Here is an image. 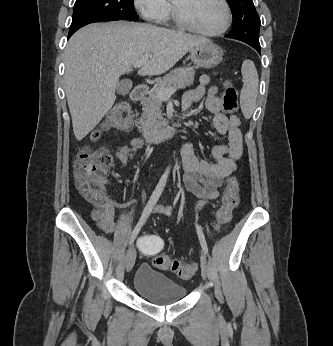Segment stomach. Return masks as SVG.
I'll use <instances>...</instances> for the list:
<instances>
[{
	"mask_svg": "<svg viewBox=\"0 0 333 346\" xmlns=\"http://www.w3.org/2000/svg\"><path fill=\"white\" fill-rule=\"evenodd\" d=\"M222 57V49L210 41L195 46L190 51L192 62L196 66L206 69L217 66L222 61Z\"/></svg>",
	"mask_w": 333,
	"mask_h": 346,
	"instance_id": "1",
	"label": "stomach"
}]
</instances>
